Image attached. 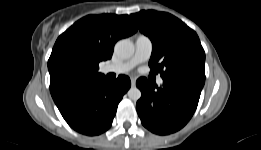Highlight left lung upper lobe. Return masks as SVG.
Instances as JSON below:
<instances>
[{"instance_id": "left-lung-upper-lobe-1", "label": "left lung upper lobe", "mask_w": 261, "mask_h": 150, "mask_svg": "<svg viewBox=\"0 0 261 150\" xmlns=\"http://www.w3.org/2000/svg\"><path fill=\"white\" fill-rule=\"evenodd\" d=\"M130 16L152 41L151 74L160 72L162 78L181 73L205 77V52L195 31L165 12L148 10Z\"/></svg>"}]
</instances>
